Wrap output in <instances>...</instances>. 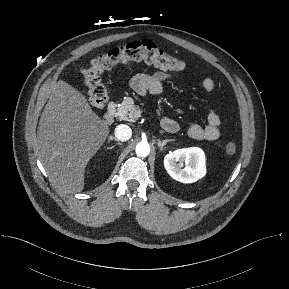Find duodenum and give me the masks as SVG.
Masks as SVG:
<instances>
[{"mask_svg": "<svg viewBox=\"0 0 289 289\" xmlns=\"http://www.w3.org/2000/svg\"><path fill=\"white\" fill-rule=\"evenodd\" d=\"M115 115V106L110 105L104 114L103 121L105 124H111Z\"/></svg>", "mask_w": 289, "mask_h": 289, "instance_id": "duodenum-1", "label": "duodenum"}]
</instances>
